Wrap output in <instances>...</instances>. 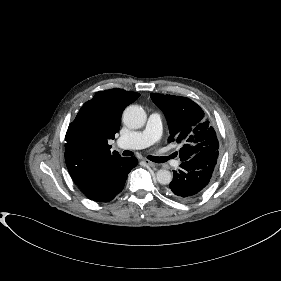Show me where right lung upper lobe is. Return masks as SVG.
<instances>
[{"instance_id":"right-lung-upper-lobe-1","label":"right lung upper lobe","mask_w":281,"mask_h":281,"mask_svg":"<svg viewBox=\"0 0 281 281\" xmlns=\"http://www.w3.org/2000/svg\"><path fill=\"white\" fill-rule=\"evenodd\" d=\"M139 96L123 89L99 91L81 107L65 137V162L78 187L90 183L106 164L121 157L110 152L108 140L118 132L123 110Z\"/></svg>"}]
</instances>
